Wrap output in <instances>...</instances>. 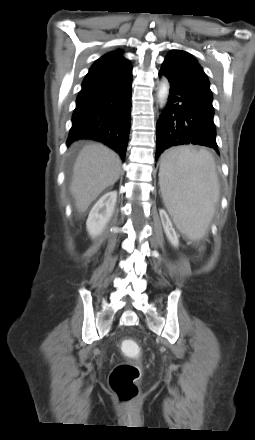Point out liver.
I'll return each instance as SVG.
<instances>
[{
	"label": "liver",
	"instance_id": "obj_1",
	"mask_svg": "<svg viewBox=\"0 0 255 440\" xmlns=\"http://www.w3.org/2000/svg\"><path fill=\"white\" fill-rule=\"evenodd\" d=\"M121 173L120 157L100 143L85 145L73 168L70 192L76 208L85 212L107 188L115 184Z\"/></svg>",
	"mask_w": 255,
	"mask_h": 440
}]
</instances>
